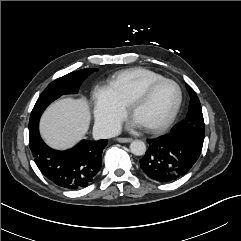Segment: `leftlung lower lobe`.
<instances>
[{
  "label": "left lung lower lobe",
  "mask_w": 241,
  "mask_h": 241,
  "mask_svg": "<svg viewBox=\"0 0 241 241\" xmlns=\"http://www.w3.org/2000/svg\"><path fill=\"white\" fill-rule=\"evenodd\" d=\"M147 142L149 148L139 161L141 169L149 178L161 183L175 181L188 173L201 152L186 138L175 134Z\"/></svg>",
  "instance_id": "left-lung-lower-lobe-1"
}]
</instances>
